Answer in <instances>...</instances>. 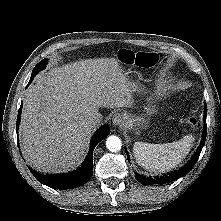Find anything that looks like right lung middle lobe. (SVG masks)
<instances>
[{
	"instance_id": "obj_1",
	"label": "right lung middle lobe",
	"mask_w": 221,
	"mask_h": 221,
	"mask_svg": "<svg viewBox=\"0 0 221 221\" xmlns=\"http://www.w3.org/2000/svg\"><path fill=\"white\" fill-rule=\"evenodd\" d=\"M46 64V60H42L40 61L36 66L35 68L33 69V72H32V76L34 77V75L40 70L42 69Z\"/></svg>"
}]
</instances>
